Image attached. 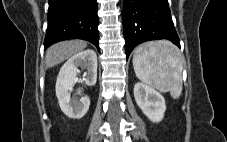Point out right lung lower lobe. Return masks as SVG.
I'll list each match as a JSON object with an SVG mask.
<instances>
[{"instance_id":"right-lung-lower-lobe-1","label":"right lung lower lobe","mask_w":227,"mask_h":142,"mask_svg":"<svg viewBox=\"0 0 227 142\" xmlns=\"http://www.w3.org/2000/svg\"><path fill=\"white\" fill-rule=\"evenodd\" d=\"M96 0H49L44 49L58 41L83 39L99 50Z\"/></svg>"}]
</instances>
